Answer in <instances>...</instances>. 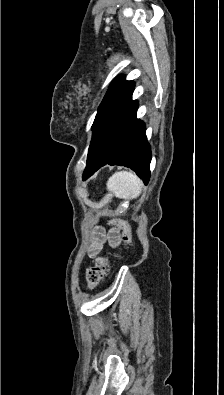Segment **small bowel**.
<instances>
[{"mask_svg": "<svg viewBox=\"0 0 224 395\" xmlns=\"http://www.w3.org/2000/svg\"><path fill=\"white\" fill-rule=\"evenodd\" d=\"M104 242H105V234H104L103 230L97 229L94 232L93 241L89 247V255L91 257L97 256L100 253ZM117 242H118V237L113 236L112 243L115 244Z\"/></svg>", "mask_w": 224, "mask_h": 395, "instance_id": "obj_1", "label": "small bowel"}]
</instances>
